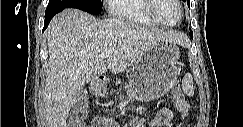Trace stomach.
I'll use <instances>...</instances> for the list:
<instances>
[{
    "instance_id": "obj_1",
    "label": "stomach",
    "mask_w": 243,
    "mask_h": 127,
    "mask_svg": "<svg viewBox=\"0 0 243 127\" xmlns=\"http://www.w3.org/2000/svg\"><path fill=\"white\" fill-rule=\"evenodd\" d=\"M179 48L160 41L146 51L132 66L126 87L131 99L150 101L166 94L178 77Z\"/></svg>"
}]
</instances>
